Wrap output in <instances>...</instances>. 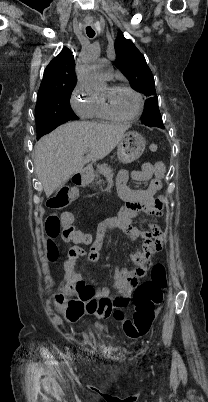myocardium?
I'll return each mask as SVG.
<instances>
[{"label":"myocardium","instance_id":"myocardium-1","mask_svg":"<svg viewBox=\"0 0 208 402\" xmlns=\"http://www.w3.org/2000/svg\"><path fill=\"white\" fill-rule=\"evenodd\" d=\"M119 89L128 90V91L132 92L134 95H136V97L138 98V101H139L138 110L132 116H122V115L118 114L113 107L112 97H113L114 93ZM100 97H101V100L103 101L107 111L109 112V114L118 121L135 120L142 114L143 109H144L145 102H144L143 95L140 92H138L137 90H135L134 88L127 86V85L106 86L104 91L100 94Z\"/></svg>","mask_w":208,"mask_h":402}]
</instances>
